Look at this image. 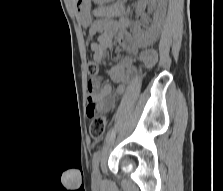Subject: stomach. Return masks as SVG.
Segmentation results:
<instances>
[{"label": "stomach", "instance_id": "obj_1", "mask_svg": "<svg viewBox=\"0 0 223 191\" xmlns=\"http://www.w3.org/2000/svg\"><path fill=\"white\" fill-rule=\"evenodd\" d=\"M96 2H101L104 0H94ZM75 10L80 22L84 26H88L91 21L90 10H91V0H73Z\"/></svg>", "mask_w": 223, "mask_h": 191}]
</instances>
